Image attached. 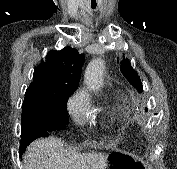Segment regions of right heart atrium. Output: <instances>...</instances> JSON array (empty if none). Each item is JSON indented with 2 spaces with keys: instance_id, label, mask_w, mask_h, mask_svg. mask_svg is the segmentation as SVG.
Here are the masks:
<instances>
[{
  "instance_id": "1",
  "label": "right heart atrium",
  "mask_w": 177,
  "mask_h": 169,
  "mask_svg": "<svg viewBox=\"0 0 177 169\" xmlns=\"http://www.w3.org/2000/svg\"><path fill=\"white\" fill-rule=\"evenodd\" d=\"M67 109L77 124H83L91 109V103L86 93L82 90L75 92L68 100Z\"/></svg>"
}]
</instances>
